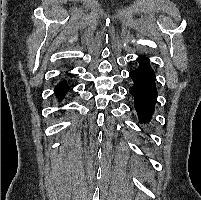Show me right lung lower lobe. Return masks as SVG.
<instances>
[{
	"label": "right lung lower lobe",
	"mask_w": 201,
	"mask_h": 200,
	"mask_svg": "<svg viewBox=\"0 0 201 200\" xmlns=\"http://www.w3.org/2000/svg\"><path fill=\"white\" fill-rule=\"evenodd\" d=\"M69 90V86L66 81H61L59 84L55 86V95L58 97L60 100H62Z\"/></svg>",
	"instance_id": "right-lung-lower-lobe-1"
}]
</instances>
